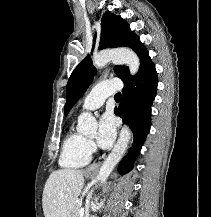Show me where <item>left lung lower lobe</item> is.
Masks as SVG:
<instances>
[{
	"instance_id": "1",
	"label": "left lung lower lobe",
	"mask_w": 211,
	"mask_h": 217,
	"mask_svg": "<svg viewBox=\"0 0 211 217\" xmlns=\"http://www.w3.org/2000/svg\"><path fill=\"white\" fill-rule=\"evenodd\" d=\"M157 84L158 78L154 64L146 67L134 78L124 82L122 102L118 108H115V114L129 125L134 135V142L119 165V172L122 175L133 168L149 132L151 105L156 96Z\"/></svg>"
}]
</instances>
